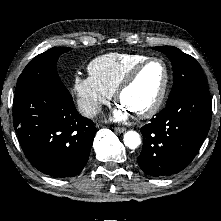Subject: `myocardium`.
Returning a JSON list of instances; mask_svg holds the SVG:
<instances>
[{
	"label": "myocardium",
	"mask_w": 221,
	"mask_h": 221,
	"mask_svg": "<svg viewBox=\"0 0 221 221\" xmlns=\"http://www.w3.org/2000/svg\"><path fill=\"white\" fill-rule=\"evenodd\" d=\"M153 62H158L163 66V68H164V81H163V84H162L161 89L159 91V94H158L157 98L155 99V101L153 102V104L150 107H148L146 110L133 114V116L138 119L150 118L153 115H155L159 111V109L161 108V106L165 100L167 90L169 87V82H170V70H169L167 63L163 59L158 58V57H149L146 60L138 63L136 66H134L128 72V74L124 77V79L118 85V87L114 93L115 100H116V102L119 103L122 94L134 83V81L136 80L139 73L147 65H149L150 63H153Z\"/></svg>",
	"instance_id": "myocardium-1"
}]
</instances>
